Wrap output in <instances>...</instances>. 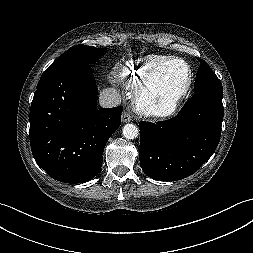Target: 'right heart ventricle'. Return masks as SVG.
Listing matches in <instances>:
<instances>
[{
    "instance_id": "right-heart-ventricle-1",
    "label": "right heart ventricle",
    "mask_w": 253,
    "mask_h": 253,
    "mask_svg": "<svg viewBox=\"0 0 253 253\" xmlns=\"http://www.w3.org/2000/svg\"><path fill=\"white\" fill-rule=\"evenodd\" d=\"M169 57L160 54H149L126 62L118 71V82L135 92L147 73L158 63Z\"/></svg>"
}]
</instances>
